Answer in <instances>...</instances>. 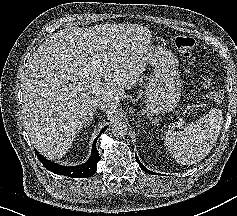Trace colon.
Returning <instances> with one entry per match:
<instances>
[{"label": "colon", "mask_w": 237, "mask_h": 216, "mask_svg": "<svg viewBox=\"0 0 237 216\" xmlns=\"http://www.w3.org/2000/svg\"><path fill=\"white\" fill-rule=\"evenodd\" d=\"M176 49L184 56L189 57L191 56L194 47H195V40L189 36H177L174 41ZM213 99L216 102H220L224 98V94L222 91H217L213 93Z\"/></svg>", "instance_id": "5ec220e1"}]
</instances>
